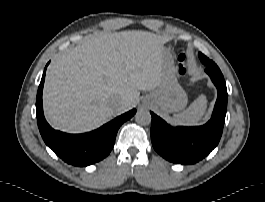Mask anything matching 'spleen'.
<instances>
[{
    "instance_id": "1",
    "label": "spleen",
    "mask_w": 265,
    "mask_h": 202,
    "mask_svg": "<svg viewBox=\"0 0 265 202\" xmlns=\"http://www.w3.org/2000/svg\"><path fill=\"white\" fill-rule=\"evenodd\" d=\"M207 100L205 96L197 99L188 110L182 114L175 115L172 122L176 125L195 126L199 125V121L205 113Z\"/></svg>"
}]
</instances>
